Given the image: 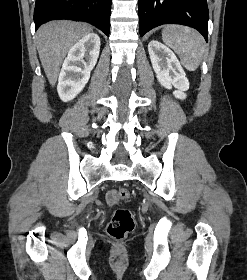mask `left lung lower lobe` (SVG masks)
<instances>
[{
	"label": "left lung lower lobe",
	"mask_w": 247,
	"mask_h": 280,
	"mask_svg": "<svg viewBox=\"0 0 247 280\" xmlns=\"http://www.w3.org/2000/svg\"><path fill=\"white\" fill-rule=\"evenodd\" d=\"M140 36L162 24H182L197 29L208 40L206 0H138Z\"/></svg>",
	"instance_id": "obj_1"
}]
</instances>
